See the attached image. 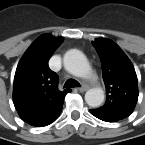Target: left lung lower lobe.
I'll list each match as a JSON object with an SVG mask.
<instances>
[{
	"instance_id": "left-lung-lower-lobe-1",
	"label": "left lung lower lobe",
	"mask_w": 145,
	"mask_h": 145,
	"mask_svg": "<svg viewBox=\"0 0 145 145\" xmlns=\"http://www.w3.org/2000/svg\"><path fill=\"white\" fill-rule=\"evenodd\" d=\"M90 111H91V113H92L95 117L99 118L100 120H103V121H106V122H116V121H118L117 119H115V118H113V117H110V116H108V115H105V114H103V113L98 112L97 109H95V110H90Z\"/></svg>"
}]
</instances>
